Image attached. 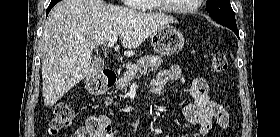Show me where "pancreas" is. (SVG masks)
Here are the masks:
<instances>
[{
    "mask_svg": "<svg viewBox=\"0 0 280 137\" xmlns=\"http://www.w3.org/2000/svg\"><path fill=\"white\" fill-rule=\"evenodd\" d=\"M163 59L160 56H143L137 63L130 65L126 73L117 81V90H126L134 79L139 76L148 74L151 71H157L162 65ZM108 103L112 102V99L107 97Z\"/></svg>",
    "mask_w": 280,
    "mask_h": 137,
    "instance_id": "1",
    "label": "pancreas"
}]
</instances>
